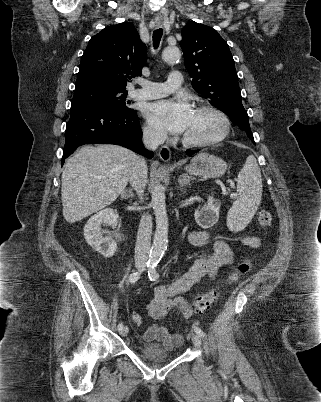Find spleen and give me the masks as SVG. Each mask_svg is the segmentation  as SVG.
<instances>
[{"label":"spleen","mask_w":321,"mask_h":402,"mask_svg":"<svg viewBox=\"0 0 321 402\" xmlns=\"http://www.w3.org/2000/svg\"><path fill=\"white\" fill-rule=\"evenodd\" d=\"M262 178L256 158L249 155L237 177L238 198L227 214V227L230 231L243 230L252 220L262 197Z\"/></svg>","instance_id":"obj_1"}]
</instances>
